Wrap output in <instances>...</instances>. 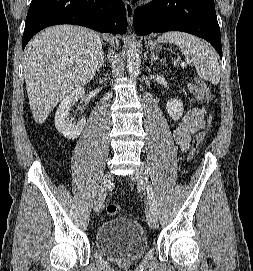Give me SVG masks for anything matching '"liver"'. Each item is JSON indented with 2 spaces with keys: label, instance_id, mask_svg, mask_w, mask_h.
<instances>
[{
  "label": "liver",
  "instance_id": "obj_1",
  "mask_svg": "<svg viewBox=\"0 0 253 271\" xmlns=\"http://www.w3.org/2000/svg\"><path fill=\"white\" fill-rule=\"evenodd\" d=\"M102 52L96 32L73 25L49 27L27 44L24 75L37 124H43L66 95L93 79Z\"/></svg>",
  "mask_w": 253,
  "mask_h": 271
}]
</instances>
